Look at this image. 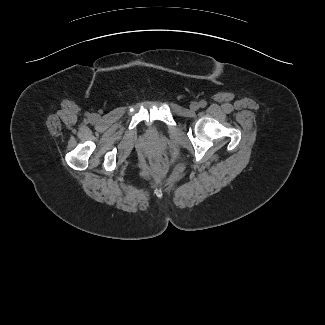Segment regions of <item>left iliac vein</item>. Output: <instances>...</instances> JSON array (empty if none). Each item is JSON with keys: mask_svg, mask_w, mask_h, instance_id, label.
Returning <instances> with one entry per match:
<instances>
[{"mask_svg": "<svg viewBox=\"0 0 325 325\" xmlns=\"http://www.w3.org/2000/svg\"><path fill=\"white\" fill-rule=\"evenodd\" d=\"M191 110L196 111L199 108V104L197 102H193L190 105Z\"/></svg>", "mask_w": 325, "mask_h": 325, "instance_id": "1", "label": "left iliac vein"}]
</instances>
